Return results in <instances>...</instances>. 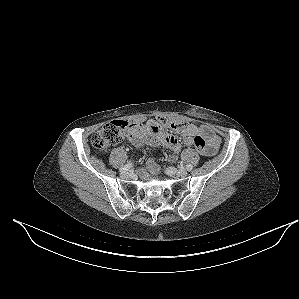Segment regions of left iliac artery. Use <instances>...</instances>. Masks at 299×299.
<instances>
[{
	"mask_svg": "<svg viewBox=\"0 0 299 299\" xmlns=\"http://www.w3.org/2000/svg\"><path fill=\"white\" fill-rule=\"evenodd\" d=\"M187 171H191L193 169V166L191 164L186 165Z\"/></svg>",
	"mask_w": 299,
	"mask_h": 299,
	"instance_id": "obj_1",
	"label": "left iliac artery"
}]
</instances>
